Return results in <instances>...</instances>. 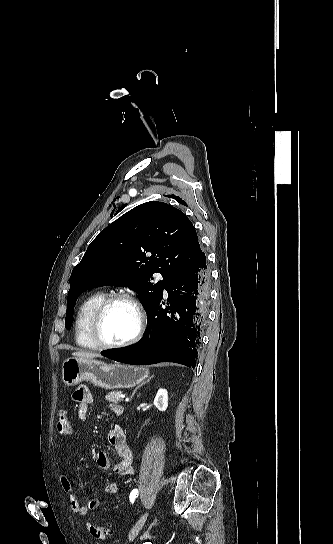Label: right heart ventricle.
<instances>
[{"instance_id": "obj_1", "label": "right heart ventricle", "mask_w": 333, "mask_h": 544, "mask_svg": "<svg viewBox=\"0 0 333 544\" xmlns=\"http://www.w3.org/2000/svg\"><path fill=\"white\" fill-rule=\"evenodd\" d=\"M105 297L104 292H94L88 295L80 304L74 326L75 340L80 347L86 349L98 348L89 336V321L94 309Z\"/></svg>"}]
</instances>
